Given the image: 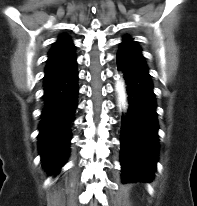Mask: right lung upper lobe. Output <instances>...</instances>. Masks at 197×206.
Returning <instances> with one entry per match:
<instances>
[{
  "label": "right lung upper lobe",
  "instance_id": "obj_1",
  "mask_svg": "<svg viewBox=\"0 0 197 206\" xmlns=\"http://www.w3.org/2000/svg\"><path fill=\"white\" fill-rule=\"evenodd\" d=\"M75 46L66 34L59 36L48 53L44 84L64 72L76 58Z\"/></svg>",
  "mask_w": 197,
  "mask_h": 206
}]
</instances>
